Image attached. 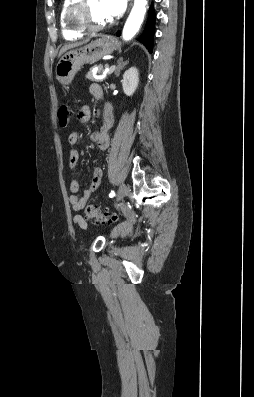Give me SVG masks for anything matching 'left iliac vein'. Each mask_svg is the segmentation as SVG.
<instances>
[{"label":"left iliac vein","instance_id":"4c4485c4","mask_svg":"<svg viewBox=\"0 0 254 397\" xmlns=\"http://www.w3.org/2000/svg\"><path fill=\"white\" fill-rule=\"evenodd\" d=\"M128 192V188L125 184H122L117 193V202L121 201Z\"/></svg>","mask_w":254,"mask_h":397}]
</instances>
